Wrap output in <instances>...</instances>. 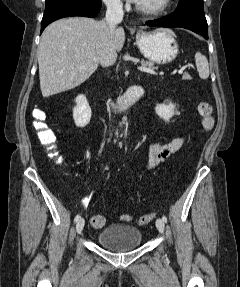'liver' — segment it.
Here are the masks:
<instances>
[{
	"label": "liver",
	"mask_w": 240,
	"mask_h": 287,
	"mask_svg": "<svg viewBox=\"0 0 240 287\" xmlns=\"http://www.w3.org/2000/svg\"><path fill=\"white\" fill-rule=\"evenodd\" d=\"M124 42V29L111 33L105 20L71 17L51 23L38 47L43 97L71 90L85 82L99 64L114 63Z\"/></svg>",
	"instance_id": "6515ba94"
}]
</instances>
